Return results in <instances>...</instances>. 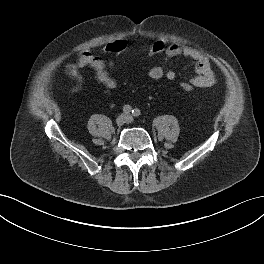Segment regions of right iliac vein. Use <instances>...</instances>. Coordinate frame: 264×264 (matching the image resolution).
<instances>
[{"label":"right iliac vein","instance_id":"right-iliac-vein-1","mask_svg":"<svg viewBox=\"0 0 264 264\" xmlns=\"http://www.w3.org/2000/svg\"><path fill=\"white\" fill-rule=\"evenodd\" d=\"M127 121V116L125 114H121L116 119V124L118 126L123 125Z\"/></svg>","mask_w":264,"mask_h":264}]
</instances>
